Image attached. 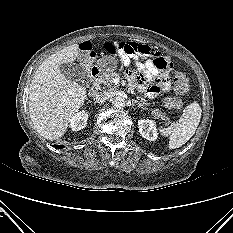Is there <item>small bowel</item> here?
Instances as JSON below:
<instances>
[{
    "label": "small bowel",
    "mask_w": 233,
    "mask_h": 233,
    "mask_svg": "<svg viewBox=\"0 0 233 233\" xmlns=\"http://www.w3.org/2000/svg\"><path fill=\"white\" fill-rule=\"evenodd\" d=\"M79 48L84 61H91L95 57L96 47L91 42H82ZM103 48L111 54H117L124 65L136 66L137 72L130 71L127 76L149 97L154 98L161 91H168V74L172 64L159 51L135 42H106Z\"/></svg>",
    "instance_id": "1"
}]
</instances>
